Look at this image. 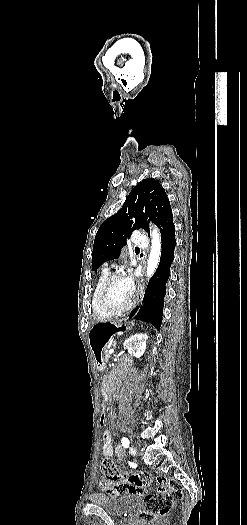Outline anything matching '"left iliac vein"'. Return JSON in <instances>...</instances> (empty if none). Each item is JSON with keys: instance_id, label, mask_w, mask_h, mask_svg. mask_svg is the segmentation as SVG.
Segmentation results:
<instances>
[{"instance_id": "obj_1", "label": "left iliac vein", "mask_w": 247, "mask_h": 525, "mask_svg": "<svg viewBox=\"0 0 247 525\" xmlns=\"http://www.w3.org/2000/svg\"><path fill=\"white\" fill-rule=\"evenodd\" d=\"M129 452H130L131 455H135V454H136V449H135V447L131 446V447L129 448Z\"/></svg>"}]
</instances>
